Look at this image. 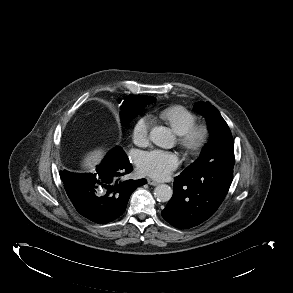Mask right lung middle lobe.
Listing matches in <instances>:
<instances>
[{
  "instance_id": "obj_1",
  "label": "right lung middle lobe",
  "mask_w": 293,
  "mask_h": 293,
  "mask_svg": "<svg viewBox=\"0 0 293 293\" xmlns=\"http://www.w3.org/2000/svg\"><path fill=\"white\" fill-rule=\"evenodd\" d=\"M143 108H144V104H138V105L130 106L126 110H122L121 112L122 123L126 124L129 120L137 116Z\"/></svg>"
}]
</instances>
